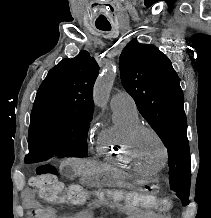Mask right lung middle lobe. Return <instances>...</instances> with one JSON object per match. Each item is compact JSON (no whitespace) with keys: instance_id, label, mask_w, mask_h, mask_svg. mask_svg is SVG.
<instances>
[{"instance_id":"obj_1","label":"right lung middle lobe","mask_w":211,"mask_h":218,"mask_svg":"<svg viewBox=\"0 0 211 218\" xmlns=\"http://www.w3.org/2000/svg\"><path fill=\"white\" fill-rule=\"evenodd\" d=\"M93 113L33 107L29 141L42 145L71 143L87 156V133Z\"/></svg>"}]
</instances>
